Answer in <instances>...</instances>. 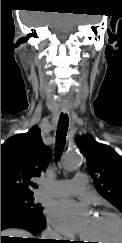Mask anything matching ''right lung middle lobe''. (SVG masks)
I'll use <instances>...</instances> for the list:
<instances>
[{
    "instance_id": "obj_1",
    "label": "right lung middle lobe",
    "mask_w": 122,
    "mask_h": 243,
    "mask_svg": "<svg viewBox=\"0 0 122 243\" xmlns=\"http://www.w3.org/2000/svg\"><path fill=\"white\" fill-rule=\"evenodd\" d=\"M18 207L32 212H42L40 204L33 203V195L1 198V207Z\"/></svg>"
}]
</instances>
